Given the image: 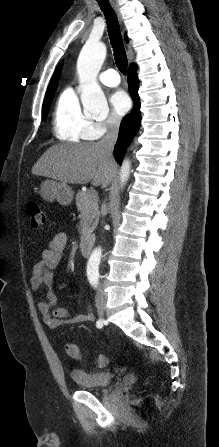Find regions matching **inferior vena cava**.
<instances>
[{
  "mask_svg": "<svg viewBox=\"0 0 219 447\" xmlns=\"http://www.w3.org/2000/svg\"><path fill=\"white\" fill-rule=\"evenodd\" d=\"M120 118L114 116L111 120L106 135L99 141L100 145L103 147L106 155L109 158H113V149L117 141L118 131H119ZM105 207V204L102 205ZM103 298L102 290H98L97 300Z\"/></svg>",
  "mask_w": 219,
  "mask_h": 447,
  "instance_id": "obj_1",
  "label": "inferior vena cava"
}]
</instances>
